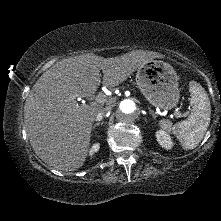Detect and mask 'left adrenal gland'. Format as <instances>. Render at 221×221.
<instances>
[{
    "label": "left adrenal gland",
    "instance_id": "1",
    "mask_svg": "<svg viewBox=\"0 0 221 221\" xmlns=\"http://www.w3.org/2000/svg\"><path fill=\"white\" fill-rule=\"evenodd\" d=\"M149 112H150V114L155 118V114H154V112L152 111V109L149 108Z\"/></svg>",
    "mask_w": 221,
    "mask_h": 221
}]
</instances>
